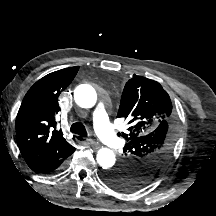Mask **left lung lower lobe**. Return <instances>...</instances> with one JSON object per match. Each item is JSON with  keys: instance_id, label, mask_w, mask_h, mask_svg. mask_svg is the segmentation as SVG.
I'll return each instance as SVG.
<instances>
[{"instance_id": "1", "label": "left lung lower lobe", "mask_w": 216, "mask_h": 216, "mask_svg": "<svg viewBox=\"0 0 216 216\" xmlns=\"http://www.w3.org/2000/svg\"><path fill=\"white\" fill-rule=\"evenodd\" d=\"M104 177H105V174H103V179H104Z\"/></svg>"}]
</instances>
